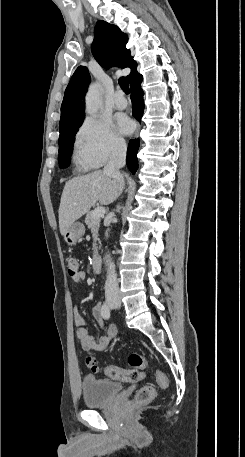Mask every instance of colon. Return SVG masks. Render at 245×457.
Listing matches in <instances>:
<instances>
[{
	"instance_id": "5ec220e1",
	"label": "colon",
	"mask_w": 245,
	"mask_h": 457,
	"mask_svg": "<svg viewBox=\"0 0 245 457\" xmlns=\"http://www.w3.org/2000/svg\"><path fill=\"white\" fill-rule=\"evenodd\" d=\"M67 266L68 272L70 276H74L78 272V262L75 257L69 256L67 257ZM129 364L132 366V369L126 370L118 368L114 365H109L106 367V374L114 379L128 381V382H137L141 381L145 377V369L148 366V360L140 355L133 353L128 358ZM85 365L86 367L92 371H98L97 361L94 356L91 354L86 355L85 357ZM156 378L160 386H166L167 378L161 372H156ZM155 397V389L152 386H143L141 387L138 392L136 393L135 397L131 402L132 408H139L142 407L149 402H151Z\"/></svg>"
}]
</instances>
